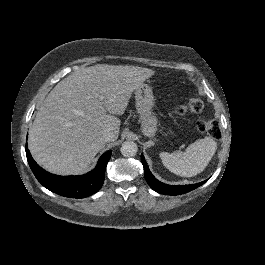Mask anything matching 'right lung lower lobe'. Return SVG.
Masks as SVG:
<instances>
[{"instance_id": "1", "label": "right lung lower lobe", "mask_w": 265, "mask_h": 265, "mask_svg": "<svg viewBox=\"0 0 265 265\" xmlns=\"http://www.w3.org/2000/svg\"><path fill=\"white\" fill-rule=\"evenodd\" d=\"M26 156L32 172L45 188L64 197L85 198L96 193L102 187L111 151L103 154L97 166L82 176H57L48 173L33 160L27 145Z\"/></svg>"}]
</instances>
